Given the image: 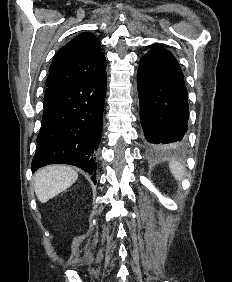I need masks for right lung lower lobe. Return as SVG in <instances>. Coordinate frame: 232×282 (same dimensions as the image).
<instances>
[{
    "instance_id": "obj_1",
    "label": "right lung lower lobe",
    "mask_w": 232,
    "mask_h": 282,
    "mask_svg": "<svg viewBox=\"0 0 232 282\" xmlns=\"http://www.w3.org/2000/svg\"><path fill=\"white\" fill-rule=\"evenodd\" d=\"M106 80L104 71L72 85L44 106L33 172L48 164H70L92 174L96 183Z\"/></svg>"
}]
</instances>
